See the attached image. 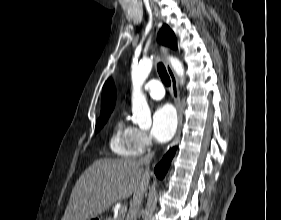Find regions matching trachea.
<instances>
[{"instance_id": "obj_1", "label": "trachea", "mask_w": 281, "mask_h": 220, "mask_svg": "<svg viewBox=\"0 0 281 220\" xmlns=\"http://www.w3.org/2000/svg\"><path fill=\"white\" fill-rule=\"evenodd\" d=\"M157 70L159 73V76L161 77L162 82L166 85L169 86L171 84L170 77L166 71L165 66L163 63H158L157 64Z\"/></svg>"}]
</instances>
